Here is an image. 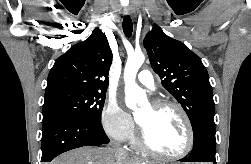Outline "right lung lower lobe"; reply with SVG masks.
<instances>
[{"label":"right lung lower lobe","instance_id":"1","mask_svg":"<svg viewBox=\"0 0 251 164\" xmlns=\"http://www.w3.org/2000/svg\"><path fill=\"white\" fill-rule=\"evenodd\" d=\"M109 139L100 122L69 116L43 119L41 162H50L66 151L82 146L107 144Z\"/></svg>","mask_w":251,"mask_h":164}]
</instances>
